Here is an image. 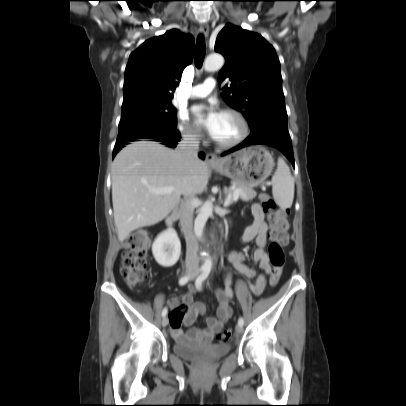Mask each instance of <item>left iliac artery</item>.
Returning a JSON list of instances; mask_svg holds the SVG:
<instances>
[{"label": "left iliac artery", "mask_w": 406, "mask_h": 406, "mask_svg": "<svg viewBox=\"0 0 406 406\" xmlns=\"http://www.w3.org/2000/svg\"><path fill=\"white\" fill-rule=\"evenodd\" d=\"M210 270H211L210 268L204 269L202 274L196 279L195 285H196L197 289L200 290L202 288V283L209 276ZM238 325H241V326L244 325V319L242 317L239 318Z\"/></svg>", "instance_id": "left-iliac-artery-1"}]
</instances>
